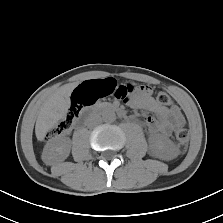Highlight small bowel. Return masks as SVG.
<instances>
[{"mask_svg":"<svg viewBox=\"0 0 223 223\" xmlns=\"http://www.w3.org/2000/svg\"><path fill=\"white\" fill-rule=\"evenodd\" d=\"M130 106L152 112L156 118L145 117L146 126L152 136L169 135L185 125V118L176 106L164 107L153 97L149 87L140 88L126 101Z\"/></svg>","mask_w":223,"mask_h":223,"instance_id":"obj_1","label":"small bowel"}]
</instances>
